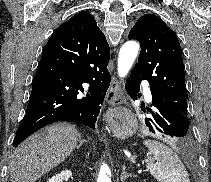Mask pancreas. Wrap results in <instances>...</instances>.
<instances>
[{
	"mask_svg": "<svg viewBox=\"0 0 211 182\" xmlns=\"http://www.w3.org/2000/svg\"><path fill=\"white\" fill-rule=\"evenodd\" d=\"M134 159H135V156H132V157L130 158V160H132V161H133Z\"/></svg>",
	"mask_w": 211,
	"mask_h": 182,
	"instance_id": "obj_1",
	"label": "pancreas"
}]
</instances>
